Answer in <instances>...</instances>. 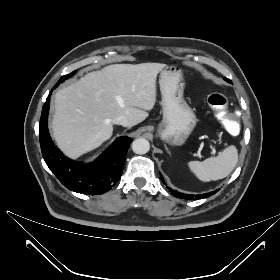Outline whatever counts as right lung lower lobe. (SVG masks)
<instances>
[{
	"label": "right lung lower lobe",
	"instance_id": "obj_1",
	"mask_svg": "<svg viewBox=\"0 0 280 280\" xmlns=\"http://www.w3.org/2000/svg\"><path fill=\"white\" fill-rule=\"evenodd\" d=\"M50 95L43 106L39 124L40 146L47 166L71 191L87 195H98L109 191L121 178L127 150L132 142L131 138L119 137L95 163L84 165L70 160L55 148L48 133Z\"/></svg>",
	"mask_w": 280,
	"mask_h": 280
}]
</instances>
